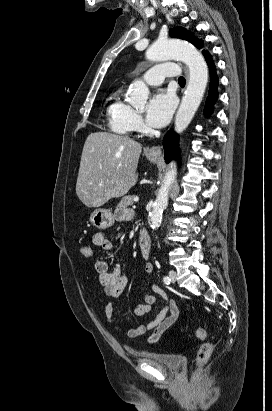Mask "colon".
Returning <instances> with one entry per match:
<instances>
[{
  "instance_id": "5ec220e1",
  "label": "colon",
  "mask_w": 272,
  "mask_h": 411,
  "mask_svg": "<svg viewBox=\"0 0 272 411\" xmlns=\"http://www.w3.org/2000/svg\"><path fill=\"white\" fill-rule=\"evenodd\" d=\"M81 254L84 257H91L92 256V248L89 245H82L80 248ZM196 335L198 338L203 339L206 336V329L205 327H199L196 330ZM215 344L213 342H205L203 343L199 351L197 353L196 357V368L195 372L193 373L192 376V383L194 385L198 384V379H199V373L202 370V368L207 364L209 361L213 351H214Z\"/></svg>"
}]
</instances>
